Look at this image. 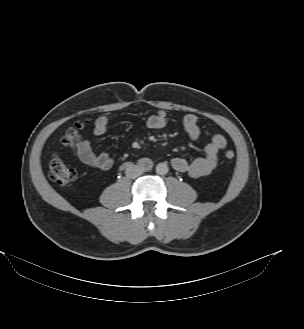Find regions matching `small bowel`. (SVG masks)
<instances>
[{
  "instance_id": "1",
  "label": "small bowel",
  "mask_w": 304,
  "mask_h": 329,
  "mask_svg": "<svg viewBox=\"0 0 304 329\" xmlns=\"http://www.w3.org/2000/svg\"><path fill=\"white\" fill-rule=\"evenodd\" d=\"M168 123V115L164 110H159L147 119V127L150 129H161ZM183 126L188 136L195 141H203L198 119L194 114H186L182 119ZM109 126V118L100 116L94 125V134L103 135ZM227 144L226 138L221 134H216L206 141L204 156L193 161H188L181 157L172 159L174 170L185 173L189 177L198 179L212 173L219 161V153ZM75 155L84 164L101 170H109L113 166L112 158L105 152L95 153L92 150L90 141L84 140L76 145Z\"/></svg>"
}]
</instances>
